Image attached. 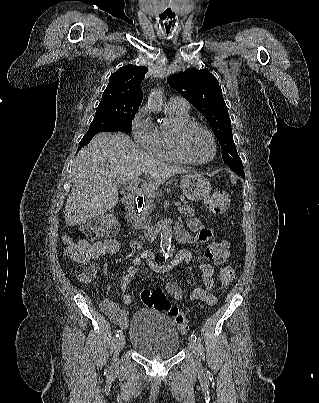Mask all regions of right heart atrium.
<instances>
[{
  "label": "right heart atrium",
  "mask_w": 319,
  "mask_h": 403,
  "mask_svg": "<svg viewBox=\"0 0 319 403\" xmlns=\"http://www.w3.org/2000/svg\"><path fill=\"white\" fill-rule=\"evenodd\" d=\"M131 134L135 143L144 151L154 153L157 128L149 117L146 106L140 107L131 120Z\"/></svg>",
  "instance_id": "right-heart-atrium-1"
}]
</instances>
